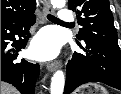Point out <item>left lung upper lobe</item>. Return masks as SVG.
<instances>
[{
	"instance_id": "1",
	"label": "left lung upper lobe",
	"mask_w": 121,
	"mask_h": 94,
	"mask_svg": "<svg viewBox=\"0 0 121 94\" xmlns=\"http://www.w3.org/2000/svg\"><path fill=\"white\" fill-rule=\"evenodd\" d=\"M68 5L69 9L76 12L78 24L81 26L78 39L118 42L109 0H69Z\"/></svg>"
}]
</instances>
